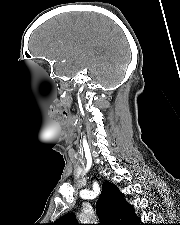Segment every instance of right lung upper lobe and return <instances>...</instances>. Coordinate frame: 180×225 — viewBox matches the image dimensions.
Masks as SVG:
<instances>
[{
    "label": "right lung upper lobe",
    "mask_w": 180,
    "mask_h": 225,
    "mask_svg": "<svg viewBox=\"0 0 180 225\" xmlns=\"http://www.w3.org/2000/svg\"><path fill=\"white\" fill-rule=\"evenodd\" d=\"M97 207L103 219V223L99 225H132L137 220L132 207L125 202L117 187L107 181L102 185ZM52 225L80 224L75 223L73 214H67L60 217Z\"/></svg>",
    "instance_id": "cb5924a9"
}]
</instances>
